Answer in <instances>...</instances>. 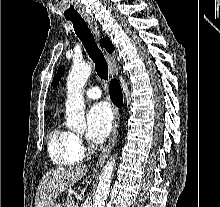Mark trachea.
<instances>
[{
    "instance_id": "3493384b",
    "label": "trachea",
    "mask_w": 220,
    "mask_h": 207,
    "mask_svg": "<svg viewBox=\"0 0 220 207\" xmlns=\"http://www.w3.org/2000/svg\"><path fill=\"white\" fill-rule=\"evenodd\" d=\"M73 24L74 31L82 41L89 57L95 64V70L100 78L108 79V65L103 53L98 48L95 39L88 28L87 23L81 16L67 18Z\"/></svg>"
}]
</instances>
